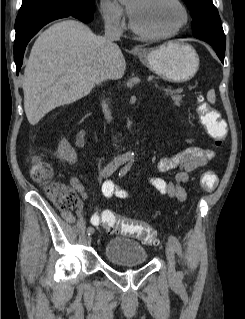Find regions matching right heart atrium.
I'll return each mask as SVG.
<instances>
[{"label": "right heart atrium", "instance_id": "d8ad5b80", "mask_svg": "<svg viewBox=\"0 0 245 319\" xmlns=\"http://www.w3.org/2000/svg\"><path fill=\"white\" fill-rule=\"evenodd\" d=\"M100 12L108 28L114 31H122L124 29V11L119 5L111 0H101Z\"/></svg>", "mask_w": 245, "mask_h": 319}]
</instances>
